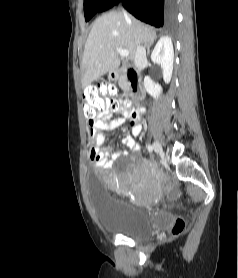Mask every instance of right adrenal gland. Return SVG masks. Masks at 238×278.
Returning a JSON list of instances; mask_svg holds the SVG:
<instances>
[{
	"label": "right adrenal gland",
	"mask_w": 238,
	"mask_h": 278,
	"mask_svg": "<svg viewBox=\"0 0 238 278\" xmlns=\"http://www.w3.org/2000/svg\"><path fill=\"white\" fill-rule=\"evenodd\" d=\"M151 45H152V43H149V44L147 45V55H149V53H150V47H151Z\"/></svg>",
	"instance_id": "1"
}]
</instances>
